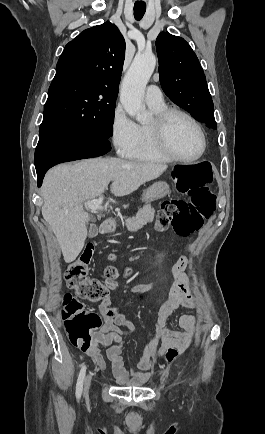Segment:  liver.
Here are the masks:
<instances>
[{
  "instance_id": "liver-1",
  "label": "liver",
  "mask_w": 265,
  "mask_h": 434,
  "mask_svg": "<svg viewBox=\"0 0 265 434\" xmlns=\"http://www.w3.org/2000/svg\"><path fill=\"white\" fill-rule=\"evenodd\" d=\"M167 168L161 162L136 164L120 158H95L49 170L41 188V212L57 238L66 264L74 262L84 248L86 224L91 220L83 210L87 200L102 196L110 182L111 194L128 196L145 182L159 178Z\"/></svg>"
}]
</instances>
